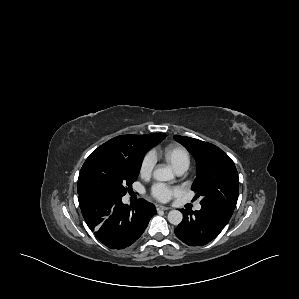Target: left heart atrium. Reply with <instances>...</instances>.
<instances>
[{"mask_svg": "<svg viewBox=\"0 0 299 299\" xmlns=\"http://www.w3.org/2000/svg\"><path fill=\"white\" fill-rule=\"evenodd\" d=\"M151 193L152 196L159 201H168L172 196L178 193V190L163 184H155L152 187Z\"/></svg>", "mask_w": 299, "mask_h": 299, "instance_id": "1", "label": "left heart atrium"}]
</instances>
